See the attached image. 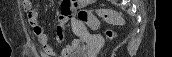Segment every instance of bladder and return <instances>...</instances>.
Here are the masks:
<instances>
[{
    "label": "bladder",
    "mask_w": 172,
    "mask_h": 57,
    "mask_svg": "<svg viewBox=\"0 0 172 57\" xmlns=\"http://www.w3.org/2000/svg\"><path fill=\"white\" fill-rule=\"evenodd\" d=\"M69 57H89V56H88V52H84L82 54H73Z\"/></svg>",
    "instance_id": "1"
}]
</instances>
